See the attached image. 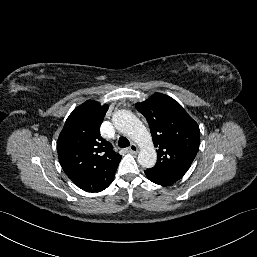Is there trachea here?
I'll return each instance as SVG.
<instances>
[{
	"label": "trachea",
	"mask_w": 257,
	"mask_h": 257,
	"mask_svg": "<svg viewBox=\"0 0 257 257\" xmlns=\"http://www.w3.org/2000/svg\"><path fill=\"white\" fill-rule=\"evenodd\" d=\"M118 145L121 148H126L130 145V142L126 137L121 136L118 140Z\"/></svg>",
	"instance_id": "trachea-1"
}]
</instances>
